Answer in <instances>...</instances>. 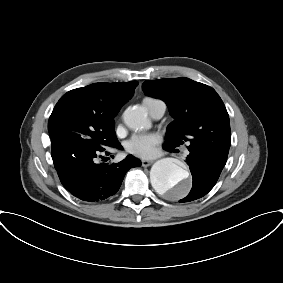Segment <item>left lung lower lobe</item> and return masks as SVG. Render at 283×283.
<instances>
[{
	"label": "left lung lower lobe",
	"instance_id": "left-lung-lower-lobe-1",
	"mask_svg": "<svg viewBox=\"0 0 283 283\" xmlns=\"http://www.w3.org/2000/svg\"><path fill=\"white\" fill-rule=\"evenodd\" d=\"M166 148V147H165ZM171 151L172 148H166ZM187 163L193 177L190 193L181 202H189L206 195L217 182L223 167L224 160L214 161L199 153L191 152L187 156Z\"/></svg>",
	"mask_w": 283,
	"mask_h": 283
}]
</instances>
